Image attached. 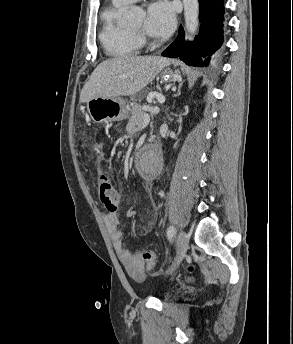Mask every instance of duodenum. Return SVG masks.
<instances>
[{
	"mask_svg": "<svg viewBox=\"0 0 293 344\" xmlns=\"http://www.w3.org/2000/svg\"><path fill=\"white\" fill-rule=\"evenodd\" d=\"M139 157H140V153H137L135 155V160L138 161L139 160ZM158 166H161V160L158 161Z\"/></svg>",
	"mask_w": 293,
	"mask_h": 344,
	"instance_id": "410a0bca",
	"label": "duodenum"
}]
</instances>
